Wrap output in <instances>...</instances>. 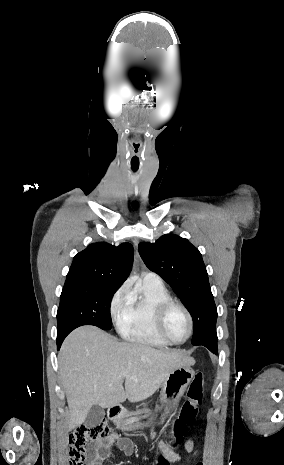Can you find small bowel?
Masks as SVG:
<instances>
[{"mask_svg": "<svg viewBox=\"0 0 284 465\" xmlns=\"http://www.w3.org/2000/svg\"><path fill=\"white\" fill-rule=\"evenodd\" d=\"M150 437L152 441L155 442L159 451L166 455L171 461L177 462L180 460V457L167 447L155 430L151 431ZM194 445L195 440L189 439L185 444V448L190 452L193 450ZM115 447L120 448L126 456H132L134 453L133 442L130 439L122 438L117 433H112L105 440L95 443L89 455V465H101L102 461L108 457L111 450ZM198 465H204V463L200 462Z\"/></svg>", "mask_w": 284, "mask_h": 465, "instance_id": "1", "label": "small bowel"}]
</instances>
